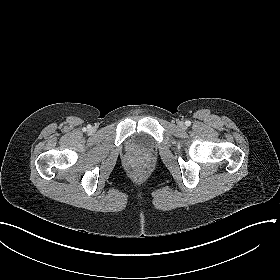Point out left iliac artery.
I'll list each match as a JSON object with an SVG mask.
<instances>
[{"label":"left iliac artery","instance_id":"1","mask_svg":"<svg viewBox=\"0 0 280 280\" xmlns=\"http://www.w3.org/2000/svg\"><path fill=\"white\" fill-rule=\"evenodd\" d=\"M185 124H186V126H190V125H191V122H190L189 120H187V121L185 122Z\"/></svg>","mask_w":280,"mask_h":280}]
</instances>
